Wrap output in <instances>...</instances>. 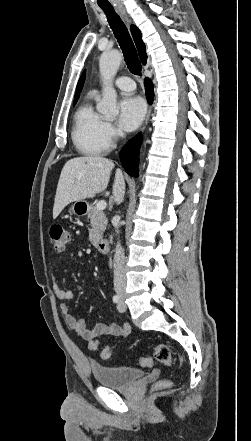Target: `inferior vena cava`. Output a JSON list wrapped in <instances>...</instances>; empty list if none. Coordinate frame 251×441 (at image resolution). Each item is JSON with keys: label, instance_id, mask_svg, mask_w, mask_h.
Here are the masks:
<instances>
[{"label": "inferior vena cava", "instance_id": "1", "mask_svg": "<svg viewBox=\"0 0 251 441\" xmlns=\"http://www.w3.org/2000/svg\"><path fill=\"white\" fill-rule=\"evenodd\" d=\"M117 232H118V226H117ZM125 287H126L125 255L120 242H117L115 254H114V289L117 293H122L125 291Z\"/></svg>", "mask_w": 251, "mask_h": 441}]
</instances>
